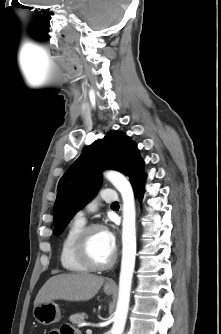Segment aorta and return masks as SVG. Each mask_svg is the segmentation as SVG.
<instances>
[{
	"label": "aorta",
	"instance_id": "1",
	"mask_svg": "<svg viewBox=\"0 0 221 334\" xmlns=\"http://www.w3.org/2000/svg\"><path fill=\"white\" fill-rule=\"evenodd\" d=\"M106 178L123 199L122 261L117 306L110 334H122L126 324L136 257L135 200L130 182L120 173L109 171Z\"/></svg>",
	"mask_w": 221,
	"mask_h": 334
}]
</instances>
